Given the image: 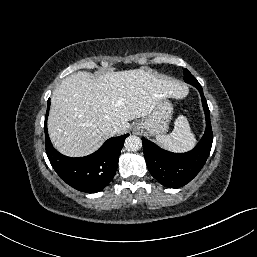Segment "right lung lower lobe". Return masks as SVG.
Here are the masks:
<instances>
[{
  "label": "right lung lower lobe",
  "mask_w": 257,
  "mask_h": 257,
  "mask_svg": "<svg viewBox=\"0 0 257 257\" xmlns=\"http://www.w3.org/2000/svg\"><path fill=\"white\" fill-rule=\"evenodd\" d=\"M50 108L45 116L46 153L48 159L59 175L68 185L76 190L94 193L104 189L114 177L120 151L124 140L129 134L108 139L96 152L89 156L71 158L59 153L51 144L47 131V118Z\"/></svg>",
  "instance_id": "98d812e1"
}]
</instances>
